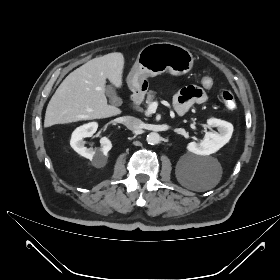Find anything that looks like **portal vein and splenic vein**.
<instances>
[{
  "instance_id": "portal-vein-and-splenic-vein-1",
  "label": "portal vein and splenic vein",
  "mask_w": 280,
  "mask_h": 280,
  "mask_svg": "<svg viewBox=\"0 0 280 280\" xmlns=\"http://www.w3.org/2000/svg\"><path fill=\"white\" fill-rule=\"evenodd\" d=\"M157 107H158V102H156V101L152 102L146 110V115H151V114L155 113Z\"/></svg>"
}]
</instances>
